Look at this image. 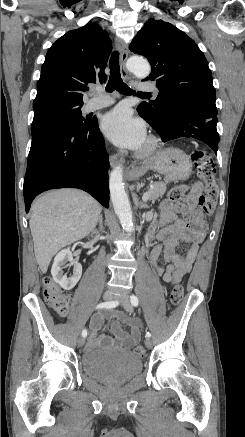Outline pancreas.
Wrapping results in <instances>:
<instances>
[{
    "label": "pancreas",
    "instance_id": "obj_1",
    "mask_svg": "<svg viewBox=\"0 0 245 437\" xmlns=\"http://www.w3.org/2000/svg\"><path fill=\"white\" fill-rule=\"evenodd\" d=\"M166 183L164 182H153L151 188L148 190L150 201H154L159 197L163 196L166 192Z\"/></svg>",
    "mask_w": 245,
    "mask_h": 437
}]
</instances>
